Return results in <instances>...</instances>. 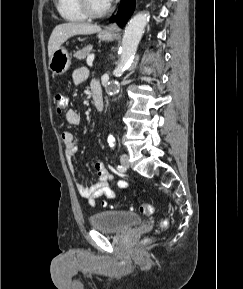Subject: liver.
Returning a JSON list of instances; mask_svg holds the SVG:
<instances>
[{
	"mask_svg": "<svg viewBox=\"0 0 243 289\" xmlns=\"http://www.w3.org/2000/svg\"><path fill=\"white\" fill-rule=\"evenodd\" d=\"M101 31V27L89 23H63L57 25L49 38L48 55L52 56L54 51L61 47V45L70 37L74 35H89Z\"/></svg>",
	"mask_w": 243,
	"mask_h": 289,
	"instance_id": "obj_1",
	"label": "liver"
}]
</instances>
